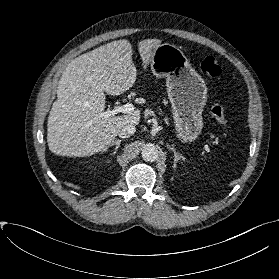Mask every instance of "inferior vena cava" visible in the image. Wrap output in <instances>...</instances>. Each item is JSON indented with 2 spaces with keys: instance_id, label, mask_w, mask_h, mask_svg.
I'll use <instances>...</instances> for the list:
<instances>
[{
  "instance_id": "1",
  "label": "inferior vena cava",
  "mask_w": 279,
  "mask_h": 279,
  "mask_svg": "<svg viewBox=\"0 0 279 279\" xmlns=\"http://www.w3.org/2000/svg\"><path fill=\"white\" fill-rule=\"evenodd\" d=\"M136 131L135 126L133 125H126L124 126L121 130H119V137L121 138H128L130 136H132Z\"/></svg>"
}]
</instances>
